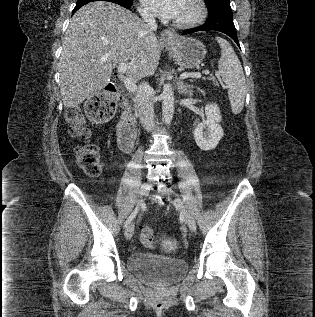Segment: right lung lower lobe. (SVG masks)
<instances>
[{
	"instance_id": "1",
	"label": "right lung lower lobe",
	"mask_w": 315,
	"mask_h": 317,
	"mask_svg": "<svg viewBox=\"0 0 315 317\" xmlns=\"http://www.w3.org/2000/svg\"><path fill=\"white\" fill-rule=\"evenodd\" d=\"M103 1L113 2V3L119 4L127 9H129L132 6V4L126 3V2H123L120 0H103ZM87 3H89V2L77 3L72 14H74L79 8H81L83 5H85Z\"/></svg>"
}]
</instances>
